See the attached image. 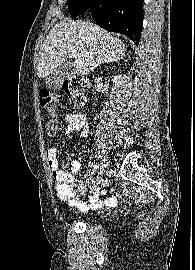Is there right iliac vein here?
I'll return each mask as SVG.
<instances>
[{"label":"right iliac vein","mask_w":195,"mask_h":270,"mask_svg":"<svg viewBox=\"0 0 195 270\" xmlns=\"http://www.w3.org/2000/svg\"><path fill=\"white\" fill-rule=\"evenodd\" d=\"M107 170H108V163L106 162V160H104V162L99 167L98 175H97L95 182H94L95 183L94 187L103 183V181H104L103 177L107 173Z\"/></svg>","instance_id":"63e3f726"}]
</instances>
